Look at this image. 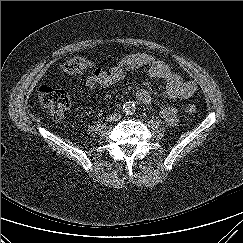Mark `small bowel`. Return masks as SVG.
Segmentation results:
<instances>
[{
	"instance_id": "c3829d8e",
	"label": "small bowel",
	"mask_w": 243,
	"mask_h": 243,
	"mask_svg": "<svg viewBox=\"0 0 243 243\" xmlns=\"http://www.w3.org/2000/svg\"><path fill=\"white\" fill-rule=\"evenodd\" d=\"M141 68H147L152 78L162 80L165 83V88L160 93V96L163 98L187 99L197 90V85L194 81L183 79L166 62L157 60L146 53L127 55L109 70L97 67L93 74L84 78V84L88 92L93 91L97 87L106 88L123 80L126 72ZM136 98L144 104H150L153 101V95L147 89L138 90ZM161 116L169 125H174L178 121L177 110L172 106L162 108Z\"/></svg>"
}]
</instances>
